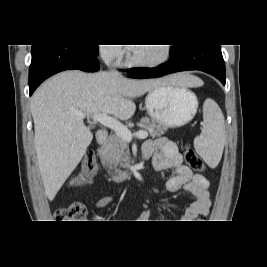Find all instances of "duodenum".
<instances>
[{"label":"duodenum","instance_id":"obj_1","mask_svg":"<svg viewBox=\"0 0 267 267\" xmlns=\"http://www.w3.org/2000/svg\"><path fill=\"white\" fill-rule=\"evenodd\" d=\"M108 141V132L106 130H100L96 136V142L100 146H104ZM132 173L130 171H118L114 172L112 177L115 181H123L131 178Z\"/></svg>","mask_w":267,"mask_h":267}]
</instances>
